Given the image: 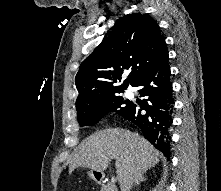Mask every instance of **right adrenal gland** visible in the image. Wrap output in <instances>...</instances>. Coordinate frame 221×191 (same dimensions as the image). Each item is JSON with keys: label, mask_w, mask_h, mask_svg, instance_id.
<instances>
[{"label": "right adrenal gland", "mask_w": 221, "mask_h": 191, "mask_svg": "<svg viewBox=\"0 0 221 191\" xmlns=\"http://www.w3.org/2000/svg\"><path fill=\"white\" fill-rule=\"evenodd\" d=\"M144 173H145V172L139 173V174L135 177V180H134L135 185H139L141 182L146 181V178L144 177Z\"/></svg>", "instance_id": "2a0ac1e0"}]
</instances>
